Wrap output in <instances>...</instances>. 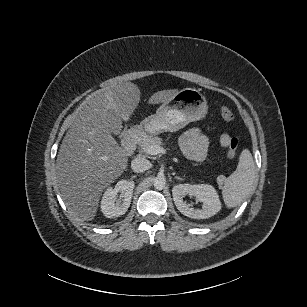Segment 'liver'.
Instances as JSON below:
<instances>
[{
    "label": "liver",
    "instance_id": "1",
    "mask_svg": "<svg viewBox=\"0 0 307 307\" xmlns=\"http://www.w3.org/2000/svg\"><path fill=\"white\" fill-rule=\"evenodd\" d=\"M178 89L154 93L148 104L171 99ZM140 89L125 82L99 89L82 103L63 138L56 162V180L72 213L84 221L94 219L105 188L127 167L124 150L111 135L122 128L140 102Z\"/></svg>",
    "mask_w": 307,
    "mask_h": 307
}]
</instances>
